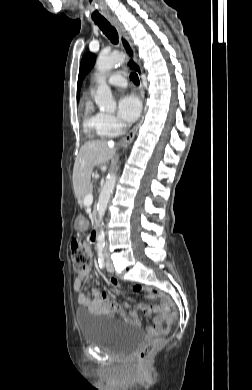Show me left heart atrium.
Instances as JSON below:
<instances>
[{
	"label": "left heart atrium",
	"instance_id": "obj_1",
	"mask_svg": "<svg viewBox=\"0 0 252 390\" xmlns=\"http://www.w3.org/2000/svg\"><path fill=\"white\" fill-rule=\"evenodd\" d=\"M141 111V103L133 94L123 95L118 101V115L125 122H133Z\"/></svg>",
	"mask_w": 252,
	"mask_h": 390
}]
</instances>
